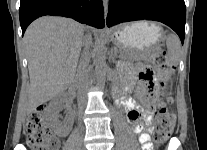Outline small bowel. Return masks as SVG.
Returning a JSON list of instances; mask_svg holds the SVG:
<instances>
[{
    "label": "small bowel",
    "instance_id": "1",
    "mask_svg": "<svg viewBox=\"0 0 207 150\" xmlns=\"http://www.w3.org/2000/svg\"><path fill=\"white\" fill-rule=\"evenodd\" d=\"M123 71L125 81L116 88V96L119 104L126 110L128 121L132 125L134 133L139 136L142 149L152 150L153 144L150 140V130L153 120L154 72L150 67L143 64L138 65L136 68L124 65ZM133 91L146 109L130 97Z\"/></svg>",
    "mask_w": 207,
    "mask_h": 150
}]
</instances>
